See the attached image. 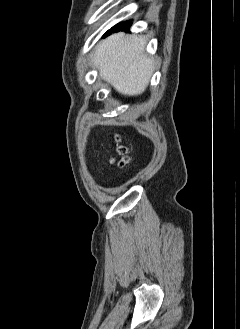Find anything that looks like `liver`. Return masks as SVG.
<instances>
[{
	"label": "liver",
	"mask_w": 240,
	"mask_h": 329,
	"mask_svg": "<svg viewBox=\"0 0 240 329\" xmlns=\"http://www.w3.org/2000/svg\"><path fill=\"white\" fill-rule=\"evenodd\" d=\"M146 41L122 32L102 40L96 48L93 64L100 77L123 95L143 93L153 73V59L145 55Z\"/></svg>",
	"instance_id": "1"
}]
</instances>
